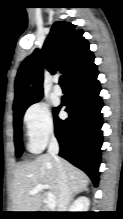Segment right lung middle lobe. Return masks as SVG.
<instances>
[{
    "instance_id": "dd1d6c3e",
    "label": "right lung middle lobe",
    "mask_w": 123,
    "mask_h": 219,
    "mask_svg": "<svg viewBox=\"0 0 123 219\" xmlns=\"http://www.w3.org/2000/svg\"><path fill=\"white\" fill-rule=\"evenodd\" d=\"M42 97L43 96L35 98L13 109L14 110V142H15V154L17 157H20L23 151L21 125H22V118L24 112L31 104L38 102Z\"/></svg>"
}]
</instances>
